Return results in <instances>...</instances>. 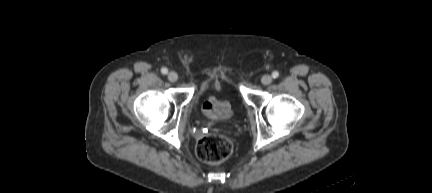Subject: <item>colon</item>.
Segmentation results:
<instances>
[{"mask_svg": "<svg viewBox=\"0 0 432 193\" xmlns=\"http://www.w3.org/2000/svg\"><path fill=\"white\" fill-rule=\"evenodd\" d=\"M233 151V143L229 138L207 135L197 144L198 158L208 164H218L226 160Z\"/></svg>", "mask_w": 432, "mask_h": 193, "instance_id": "1", "label": "colon"}]
</instances>
